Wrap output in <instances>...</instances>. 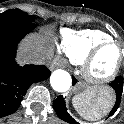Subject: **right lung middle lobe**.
<instances>
[{"label": "right lung middle lobe", "instance_id": "dd1d6c3e", "mask_svg": "<svg viewBox=\"0 0 124 124\" xmlns=\"http://www.w3.org/2000/svg\"><path fill=\"white\" fill-rule=\"evenodd\" d=\"M34 20V15H28L19 9H10L0 14V24L31 23Z\"/></svg>", "mask_w": 124, "mask_h": 124}]
</instances>
